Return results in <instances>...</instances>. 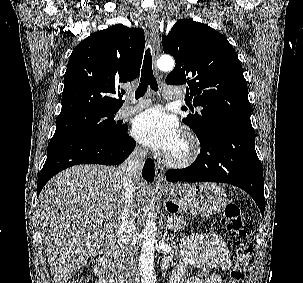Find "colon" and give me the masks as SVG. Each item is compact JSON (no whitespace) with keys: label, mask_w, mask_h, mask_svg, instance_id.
I'll list each match as a JSON object with an SVG mask.
<instances>
[{"label":"colon","mask_w":303,"mask_h":283,"mask_svg":"<svg viewBox=\"0 0 303 283\" xmlns=\"http://www.w3.org/2000/svg\"><path fill=\"white\" fill-rule=\"evenodd\" d=\"M224 227L237 236L234 242V263L229 273L227 283H244L246 272L252 256V246L245 239L247 233L246 224L241 216L240 208L236 203H228L225 207L222 219ZM91 273L86 269L69 283H90Z\"/></svg>","instance_id":"1"}]
</instances>
